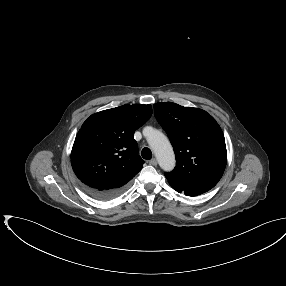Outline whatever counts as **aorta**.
<instances>
[{"label":"aorta","instance_id":"obj_1","mask_svg":"<svg viewBox=\"0 0 286 286\" xmlns=\"http://www.w3.org/2000/svg\"><path fill=\"white\" fill-rule=\"evenodd\" d=\"M147 142L153 150L159 166L164 171H171L175 167V155L168 138L159 130L151 129L146 135Z\"/></svg>","mask_w":286,"mask_h":286}]
</instances>
